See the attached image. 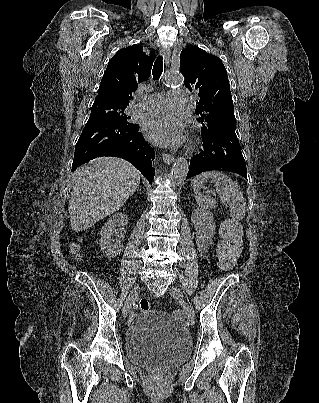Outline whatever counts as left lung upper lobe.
Returning <instances> with one entry per match:
<instances>
[{
    "label": "left lung upper lobe",
    "instance_id": "obj_1",
    "mask_svg": "<svg viewBox=\"0 0 319 403\" xmlns=\"http://www.w3.org/2000/svg\"><path fill=\"white\" fill-rule=\"evenodd\" d=\"M180 65L185 86L200 97L195 113L197 121L202 124L201 133L235 124L227 71L220 58L199 47H188L180 54Z\"/></svg>",
    "mask_w": 319,
    "mask_h": 403
}]
</instances>
